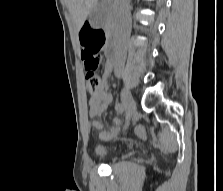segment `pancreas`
<instances>
[{
    "mask_svg": "<svg viewBox=\"0 0 223 191\" xmlns=\"http://www.w3.org/2000/svg\"><path fill=\"white\" fill-rule=\"evenodd\" d=\"M108 16L111 17V11L110 9L107 8L105 9V18H104L107 24L110 23V19H111V18H108Z\"/></svg>",
    "mask_w": 223,
    "mask_h": 191,
    "instance_id": "1",
    "label": "pancreas"
}]
</instances>
